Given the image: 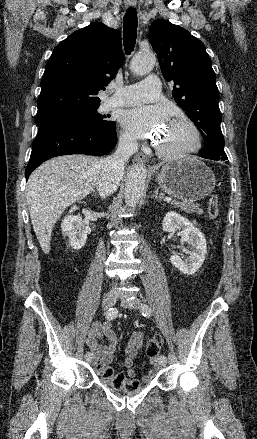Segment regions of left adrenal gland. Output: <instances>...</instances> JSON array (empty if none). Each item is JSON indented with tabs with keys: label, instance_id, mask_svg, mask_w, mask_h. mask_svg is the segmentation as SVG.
Segmentation results:
<instances>
[{
	"label": "left adrenal gland",
	"instance_id": "left-adrenal-gland-1",
	"mask_svg": "<svg viewBox=\"0 0 257 439\" xmlns=\"http://www.w3.org/2000/svg\"><path fill=\"white\" fill-rule=\"evenodd\" d=\"M159 188H157L154 193L152 194L151 198H155L158 201H161V197L158 196Z\"/></svg>",
	"mask_w": 257,
	"mask_h": 439
}]
</instances>
